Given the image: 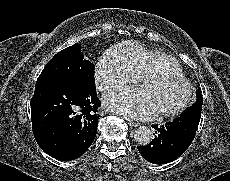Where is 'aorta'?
<instances>
[{"mask_svg":"<svg viewBox=\"0 0 230 181\" xmlns=\"http://www.w3.org/2000/svg\"><path fill=\"white\" fill-rule=\"evenodd\" d=\"M134 138L140 146H147L152 142L154 136L149 127L140 126L135 131Z\"/></svg>","mask_w":230,"mask_h":181,"instance_id":"obj_1","label":"aorta"}]
</instances>
